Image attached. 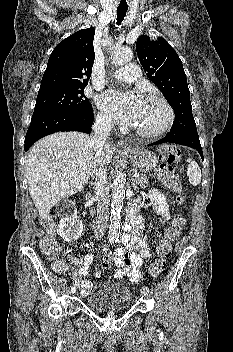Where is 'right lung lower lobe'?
I'll return each mask as SVG.
<instances>
[{
  "label": "right lung lower lobe",
  "mask_w": 233,
  "mask_h": 352,
  "mask_svg": "<svg viewBox=\"0 0 233 352\" xmlns=\"http://www.w3.org/2000/svg\"><path fill=\"white\" fill-rule=\"evenodd\" d=\"M93 120L92 108L33 115L25 137L24 150L28 151L37 140L55 132L80 131L90 133Z\"/></svg>",
  "instance_id": "obj_1"
}]
</instances>
